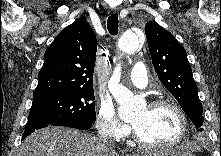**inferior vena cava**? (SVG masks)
I'll return each instance as SVG.
<instances>
[{
	"label": "inferior vena cava",
	"instance_id": "602c4592",
	"mask_svg": "<svg viewBox=\"0 0 221 156\" xmlns=\"http://www.w3.org/2000/svg\"><path fill=\"white\" fill-rule=\"evenodd\" d=\"M99 141L102 143L103 146L113 147L112 139H109L106 135H101Z\"/></svg>",
	"mask_w": 221,
	"mask_h": 156
}]
</instances>
